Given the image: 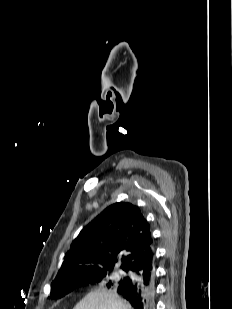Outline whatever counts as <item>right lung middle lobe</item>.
Here are the masks:
<instances>
[{
  "instance_id": "obj_1",
  "label": "right lung middle lobe",
  "mask_w": 232,
  "mask_h": 309,
  "mask_svg": "<svg viewBox=\"0 0 232 309\" xmlns=\"http://www.w3.org/2000/svg\"><path fill=\"white\" fill-rule=\"evenodd\" d=\"M112 270H100L96 272H91L83 274L73 280L57 283L54 287L51 286V296L63 297L64 295L70 293L74 288L87 285L104 283L108 287H117L119 284L125 280V277L110 278Z\"/></svg>"
}]
</instances>
